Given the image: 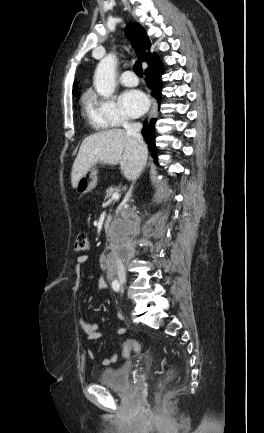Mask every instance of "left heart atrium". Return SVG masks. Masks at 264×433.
<instances>
[{
	"instance_id": "39dd6f15",
	"label": "left heart atrium",
	"mask_w": 264,
	"mask_h": 433,
	"mask_svg": "<svg viewBox=\"0 0 264 433\" xmlns=\"http://www.w3.org/2000/svg\"><path fill=\"white\" fill-rule=\"evenodd\" d=\"M120 105L126 115L135 118L139 117L146 111L148 100L142 92L138 90H129L121 95Z\"/></svg>"
}]
</instances>
